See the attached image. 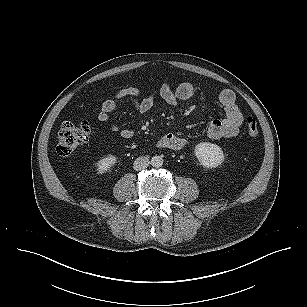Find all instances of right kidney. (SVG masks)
<instances>
[{
    "label": "right kidney",
    "mask_w": 307,
    "mask_h": 307,
    "mask_svg": "<svg viewBox=\"0 0 307 307\" xmlns=\"http://www.w3.org/2000/svg\"><path fill=\"white\" fill-rule=\"evenodd\" d=\"M117 162V158L114 155H107L106 157L102 158L97 163V170L99 173H105L111 169Z\"/></svg>",
    "instance_id": "right-kidney-1"
}]
</instances>
